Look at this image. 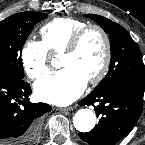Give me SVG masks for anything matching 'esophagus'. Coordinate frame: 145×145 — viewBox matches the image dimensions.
<instances>
[{
  "instance_id": "esophagus-1",
  "label": "esophagus",
  "mask_w": 145,
  "mask_h": 145,
  "mask_svg": "<svg viewBox=\"0 0 145 145\" xmlns=\"http://www.w3.org/2000/svg\"><path fill=\"white\" fill-rule=\"evenodd\" d=\"M73 109H74L73 106L66 107V108H58V110H60V111H71V110H73Z\"/></svg>"
}]
</instances>
